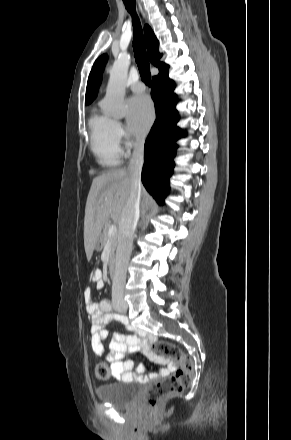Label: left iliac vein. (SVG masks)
<instances>
[{
    "label": "left iliac vein",
    "mask_w": 291,
    "mask_h": 440,
    "mask_svg": "<svg viewBox=\"0 0 291 440\" xmlns=\"http://www.w3.org/2000/svg\"><path fill=\"white\" fill-rule=\"evenodd\" d=\"M116 309H117V311L120 312V313H125V312H126V308L123 307V306H122V307H117Z\"/></svg>",
    "instance_id": "1"
}]
</instances>
